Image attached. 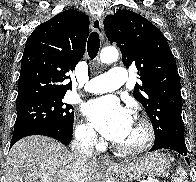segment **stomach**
<instances>
[{"label":"stomach","instance_id":"obj_1","mask_svg":"<svg viewBox=\"0 0 196 182\" xmlns=\"http://www.w3.org/2000/svg\"><path fill=\"white\" fill-rule=\"evenodd\" d=\"M170 168V160L163 153H151L123 164L118 173L125 182L137 180L141 176L161 177Z\"/></svg>","mask_w":196,"mask_h":182}]
</instances>
